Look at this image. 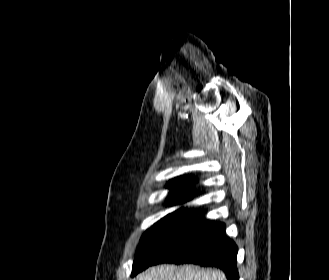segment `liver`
Here are the masks:
<instances>
[{
    "mask_svg": "<svg viewBox=\"0 0 329 280\" xmlns=\"http://www.w3.org/2000/svg\"><path fill=\"white\" fill-rule=\"evenodd\" d=\"M137 280H224L218 271L200 269L193 265L164 264L141 273Z\"/></svg>",
    "mask_w": 329,
    "mask_h": 280,
    "instance_id": "6515ba94",
    "label": "liver"
}]
</instances>
